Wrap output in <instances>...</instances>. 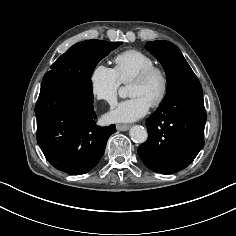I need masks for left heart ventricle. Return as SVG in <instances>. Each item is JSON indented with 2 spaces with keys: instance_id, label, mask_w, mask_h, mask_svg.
I'll return each mask as SVG.
<instances>
[{
  "instance_id": "b2bd125f",
  "label": "left heart ventricle",
  "mask_w": 236,
  "mask_h": 236,
  "mask_svg": "<svg viewBox=\"0 0 236 236\" xmlns=\"http://www.w3.org/2000/svg\"><path fill=\"white\" fill-rule=\"evenodd\" d=\"M162 89V82L158 75L152 76L144 83L130 84L128 94L131 97L139 96L145 99L149 104H152L158 97Z\"/></svg>"
}]
</instances>
